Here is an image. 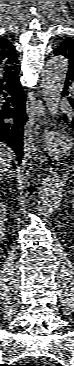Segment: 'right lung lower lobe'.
Masks as SVG:
<instances>
[{
  "label": "right lung lower lobe",
  "instance_id": "right-lung-lower-lobe-1",
  "mask_svg": "<svg viewBox=\"0 0 74 366\" xmlns=\"http://www.w3.org/2000/svg\"><path fill=\"white\" fill-rule=\"evenodd\" d=\"M8 94L12 95L8 104L1 102L0 96V142L7 143L16 154V160L21 163L23 157V138L24 126L27 122V115L25 112V96L21 85L18 82L0 88V95L6 97Z\"/></svg>",
  "mask_w": 74,
  "mask_h": 366
}]
</instances>
